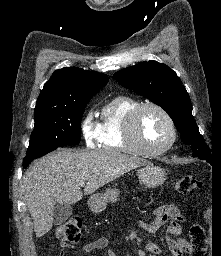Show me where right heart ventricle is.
<instances>
[{"label": "right heart ventricle", "instance_id": "obj_1", "mask_svg": "<svg viewBox=\"0 0 221 256\" xmlns=\"http://www.w3.org/2000/svg\"><path fill=\"white\" fill-rule=\"evenodd\" d=\"M140 102L129 95L113 97L102 109L100 146L107 151L139 153L125 137V126L130 112Z\"/></svg>", "mask_w": 221, "mask_h": 256}]
</instances>
